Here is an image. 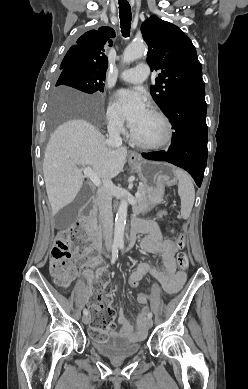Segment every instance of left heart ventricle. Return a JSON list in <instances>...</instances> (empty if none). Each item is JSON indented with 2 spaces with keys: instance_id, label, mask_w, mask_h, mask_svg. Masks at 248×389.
<instances>
[{
  "instance_id": "obj_1",
  "label": "left heart ventricle",
  "mask_w": 248,
  "mask_h": 389,
  "mask_svg": "<svg viewBox=\"0 0 248 389\" xmlns=\"http://www.w3.org/2000/svg\"><path fill=\"white\" fill-rule=\"evenodd\" d=\"M137 138L146 142H155L161 139L164 128L161 121L149 110L142 119L132 128Z\"/></svg>"
}]
</instances>
